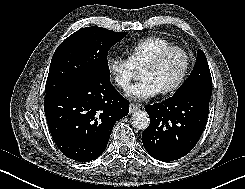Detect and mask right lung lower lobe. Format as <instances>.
Listing matches in <instances>:
<instances>
[{"label":"right lung lower lobe","mask_w":245,"mask_h":189,"mask_svg":"<svg viewBox=\"0 0 245 189\" xmlns=\"http://www.w3.org/2000/svg\"><path fill=\"white\" fill-rule=\"evenodd\" d=\"M44 111L54 142L70 159L89 162L105 150L116 121L129 112V102L97 75L77 86L46 94Z\"/></svg>","instance_id":"98d812e1"}]
</instances>
